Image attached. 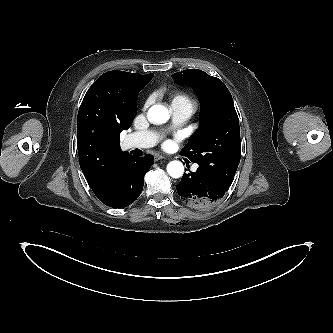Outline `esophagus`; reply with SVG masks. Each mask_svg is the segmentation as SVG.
Returning a JSON list of instances; mask_svg holds the SVG:
<instances>
[{
    "mask_svg": "<svg viewBox=\"0 0 333 333\" xmlns=\"http://www.w3.org/2000/svg\"><path fill=\"white\" fill-rule=\"evenodd\" d=\"M162 159H165V157L163 155H160V154H155L154 155V161H159V160H162Z\"/></svg>",
    "mask_w": 333,
    "mask_h": 333,
    "instance_id": "1",
    "label": "esophagus"
}]
</instances>
